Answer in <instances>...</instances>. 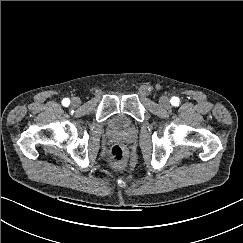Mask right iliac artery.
<instances>
[{
    "label": "right iliac artery",
    "mask_w": 243,
    "mask_h": 243,
    "mask_svg": "<svg viewBox=\"0 0 243 243\" xmlns=\"http://www.w3.org/2000/svg\"><path fill=\"white\" fill-rule=\"evenodd\" d=\"M63 106H68L70 104V100L68 98L63 99L62 101Z\"/></svg>",
    "instance_id": "obj_1"
}]
</instances>
